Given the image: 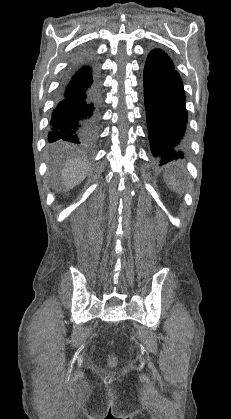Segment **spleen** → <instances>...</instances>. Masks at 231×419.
<instances>
[{
  "mask_svg": "<svg viewBox=\"0 0 231 419\" xmlns=\"http://www.w3.org/2000/svg\"><path fill=\"white\" fill-rule=\"evenodd\" d=\"M172 185H176V183L175 182H172Z\"/></svg>",
  "mask_w": 231,
  "mask_h": 419,
  "instance_id": "spleen-1",
  "label": "spleen"
}]
</instances>
